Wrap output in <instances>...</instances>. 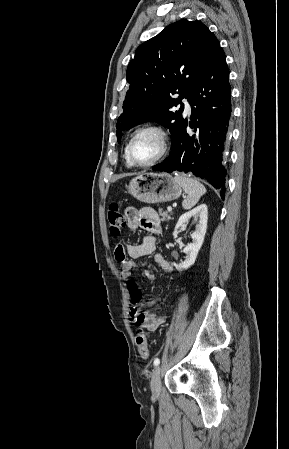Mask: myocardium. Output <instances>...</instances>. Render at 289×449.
I'll list each match as a JSON object with an SVG mask.
<instances>
[{
  "label": "myocardium",
  "instance_id": "obj_1",
  "mask_svg": "<svg viewBox=\"0 0 289 449\" xmlns=\"http://www.w3.org/2000/svg\"><path fill=\"white\" fill-rule=\"evenodd\" d=\"M144 133H152L155 136H157L159 143H160V149H159V152L156 155V157L153 158L151 161L146 162V163H139L133 158L132 146H133V143L136 140V138ZM168 149H169V134L166 131V129L157 124H147V125H144V126L138 128L132 134V136L127 144V156H128L130 163L133 166L150 167V166L156 164L157 162H159L167 154Z\"/></svg>",
  "mask_w": 289,
  "mask_h": 449
}]
</instances>
